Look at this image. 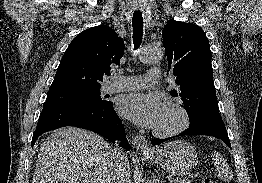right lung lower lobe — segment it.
I'll use <instances>...</instances> for the list:
<instances>
[{
  "label": "right lung lower lobe",
  "mask_w": 262,
  "mask_h": 183,
  "mask_svg": "<svg viewBox=\"0 0 262 183\" xmlns=\"http://www.w3.org/2000/svg\"><path fill=\"white\" fill-rule=\"evenodd\" d=\"M64 126L91 130L113 143L117 142L126 150L130 149L124 127L113 109L112 102L101 107L71 103H45L33 134L32 147L41 134Z\"/></svg>",
  "instance_id": "1"
}]
</instances>
